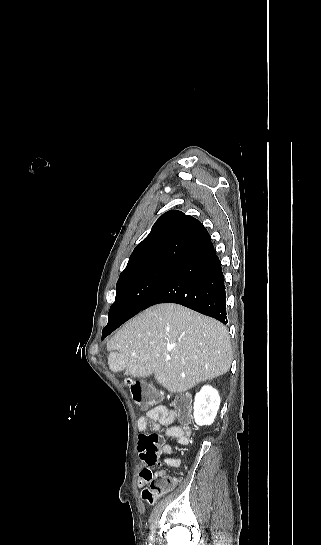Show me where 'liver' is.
Returning <instances> with one entry per match:
<instances>
[{"label": "liver", "mask_w": 321, "mask_h": 545, "mask_svg": "<svg viewBox=\"0 0 321 545\" xmlns=\"http://www.w3.org/2000/svg\"><path fill=\"white\" fill-rule=\"evenodd\" d=\"M107 351L110 371L132 377L154 373L170 393H186L228 373L233 361L227 327L174 303L154 305L125 323Z\"/></svg>", "instance_id": "obj_1"}]
</instances>
